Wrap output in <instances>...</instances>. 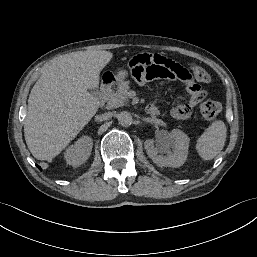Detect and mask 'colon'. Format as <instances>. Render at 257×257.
Returning <instances> with one entry per match:
<instances>
[{"instance_id":"5ec220e1","label":"colon","mask_w":257,"mask_h":257,"mask_svg":"<svg viewBox=\"0 0 257 257\" xmlns=\"http://www.w3.org/2000/svg\"><path fill=\"white\" fill-rule=\"evenodd\" d=\"M137 55H135V56H137ZM189 67L196 71V73H197L196 81L202 82V83L210 82V75L204 68H202L201 66H198V65H190ZM199 110H200L201 115L208 122H212L220 112V105L215 101L206 100V101H203L202 103H200Z\"/></svg>"}]
</instances>
